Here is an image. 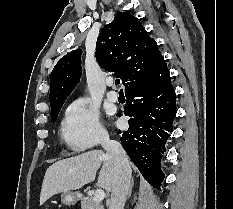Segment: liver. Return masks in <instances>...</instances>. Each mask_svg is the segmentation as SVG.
Listing matches in <instances>:
<instances>
[{
	"label": "liver",
	"instance_id": "obj_1",
	"mask_svg": "<svg viewBox=\"0 0 233 209\" xmlns=\"http://www.w3.org/2000/svg\"><path fill=\"white\" fill-rule=\"evenodd\" d=\"M100 167L98 185L107 192H111L115 181V164L108 153L102 150H92L55 162L46 170L40 194V205L55 194L78 190L94 181Z\"/></svg>",
	"mask_w": 233,
	"mask_h": 209
}]
</instances>
